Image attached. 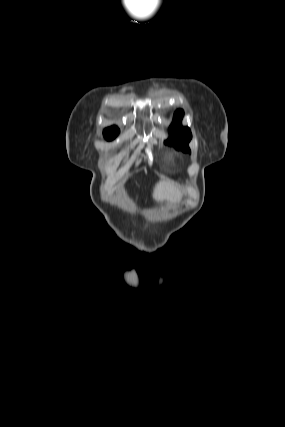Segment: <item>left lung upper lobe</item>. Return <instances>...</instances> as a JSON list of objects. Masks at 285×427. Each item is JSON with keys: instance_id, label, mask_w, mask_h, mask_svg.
I'll return each instance as SVG.
<instances>
[{"instance_id": "5c2ea615", "label": "left lung upper lobe", "mask_w": 285, "mask_h": 427, "mask_svg": "<svg viewBox=\"0 0 285 427\" xmlns=\"http://www.w3.org/2000/svg\"><path fill=\"white\" fill-rule=\"evenodd\" d=\"M183 111L178 110L175 113L174 121L170 127V138L165 141L166 144L173 145L176 149L183 152H189V141L192 138L191 131L188 127L181 126Z\"/></svg>"}]
</instances>
